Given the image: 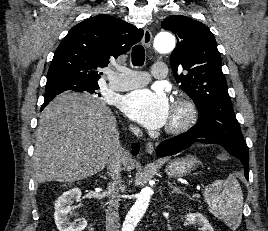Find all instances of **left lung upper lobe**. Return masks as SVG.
<instances>
[{
	"label": "left lung upper lobe",
	"mask_w": 268,
	"mask_h": 231,
	"mask_svg": "<svg viewBox=\"0 0 268 231\" xmlns=\"http://www.w3.org/2000/svg\"><path fill=\"white\" fill-rule=\"evenodd\" d=\"M161 26L177 36V46L170 57L174 77L198 109L199 121L189 130L248 150L232 108L216 40L209 28L181 15L164 19Z\"/></svg>",
	"instance_id": "1"
}]
</instances>
